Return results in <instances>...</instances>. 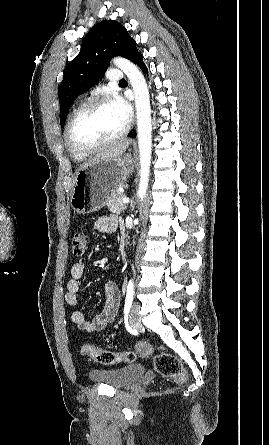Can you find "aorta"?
<instances>
[{
  "label": "aorta",
  "mask_w": 269,
  "mask_h": 445,
  "mask_svg": "<svg viewBox=\"0 0 269 445\" xmlns=\"http://www.w3.org/2000/svg\"><path fill=\"white\" fill-rule=\"evenodd\" d=\"M113 63L127 75L134 91L137 117V137L140 155V182L137 194L139 199L143 201L148 188L152 151V125L149 90L144 76L136 65L129 60L120 57L113 59Z\"/></svg>",
  "instance_id": "1"
}]
</instances>
